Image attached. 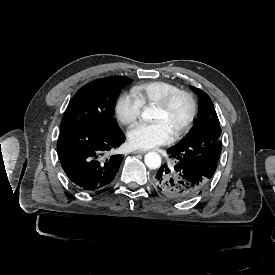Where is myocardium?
I'll return each instance as SVG.
<instances>
[{
  "instance_id": "f54148a6",
  "label": "myocardium",
  "mask_w": 275,
  "mask_h": 275,
  "mask_svg": "<svg viewBox=\"0 0 275 275\" xmlns=\"http://www.w3.org/2000/svg\"><path fill=\"white\" fill-rule=\"evenodd\" d=\"M178 97H183L187 100L190 111L185 124L172 135L173 140L179 139L180 137L184 136L193 127L198 111L195 98L190 92L186 90L176 89L154 104L161 109H168Z\"/></svg>"
}]
</instances>
